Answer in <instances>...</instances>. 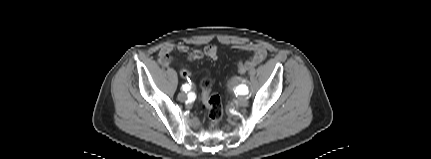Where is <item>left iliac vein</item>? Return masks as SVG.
<instances>
[{
  "mask_svg": "<svg viewBox=\"0 0 431 159\" xmlns=\"http://www.w3.org/2000/svg\"><path fill=\"white\" fill-rule=\"evenodd\" d=\"M239 103H240V105H245V104L247 103V99H246V97L241 96V97L239 98Z\"/></svg>",
  "mask_w": 431,
  "mask_h": 159,
  "instance_id": "obj_1",
  "label": "left iliac vein"
}]
</instances>
